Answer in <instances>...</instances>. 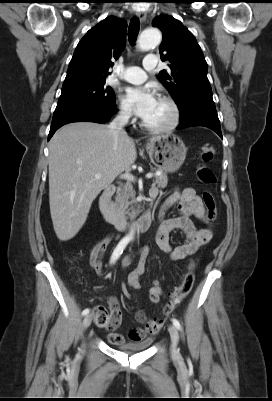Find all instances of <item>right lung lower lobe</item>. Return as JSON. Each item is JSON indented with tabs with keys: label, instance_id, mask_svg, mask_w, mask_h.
Returning a JSON list of instances; mask_svg holds the SVG:
<instances>
[{
	"label": "right lung lower lobe",
	"instance_id": "obj_1",
	"mask_svg": "<svg viewBox=\"0 0 272 401\" xmlns=\"http://www.w3.org/2000/svg\"><path fill=\"white\" fill-rule=\"evenodd\" d=\"M115 111L116 107L108 111H100L96 109H81L53 117L50 132L48 135V141L58 128L67 123L82 121L105 123L110 119Z\"/></svg>",
	"mask_w": 272,
	"mask_h": 401
}]
</instances>
